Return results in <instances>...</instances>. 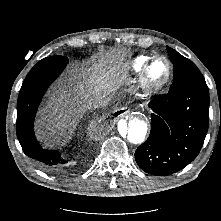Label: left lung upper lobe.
Here are the masks:
<instances>
[{
    "mask_svg": "<svg viewBox=\"0 0 221 221\" xmlns=\"http://www.w3.org/2000/svg\"><path fill=\"white\" fill-rule=\"evenodd\" d=\"M167 50L173 63V84L169 91L175 92L190 85L206 83L203 75L192 61L170 47H167Z\"/></svg>",
    "mask_w": 221,
    "mask_h": 221,
    "instance_id": "5c2ea615",
    "label": "left lung upper lobe"
}]
</instances>
